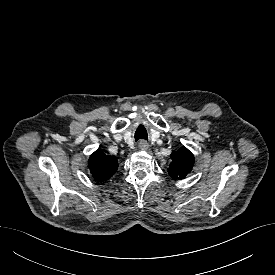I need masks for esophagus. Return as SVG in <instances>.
Masks as SVG:
<instances>
[{
	"label": "esophagus",
	"mask_w": 275,
	"mask_h": 275,
	"mask_svg": "<svg viewBox=\"0 0 275 275\" xmlns=\"http://www.w3.org/2000/svg\"><path fill=\"white\" fill-rule=\"evenodd\" d=\"M138 147H139L141 150H147V149L149 148V144L147 143V141L141 140V141L138 143Z\"/></svg>",
	"instance_id": "esophagus-1"
}]
</instances>
